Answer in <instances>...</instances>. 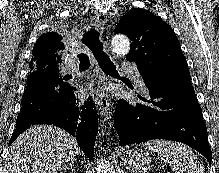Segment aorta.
Wrapping results in <instances>:
<instances>
[{
    "mask_svg": "<svg viewBox=\"0 0 219 173\" xmlns=\"http://www.w3.org/2000/svg\"><path fill=\"white\" fill-rule=\"evenodd\" d=\"M111 49L117 55H126L130 50V41L125 35H115L111 41ZM95 170L96 173H115L110 162L103 158L97 159Z\"/></svg>",
    "mask_w": 219,
    "mask_h": 173,
    "instance_id": "762f6f07",
    "label": "aorta"
}]
</instances>
